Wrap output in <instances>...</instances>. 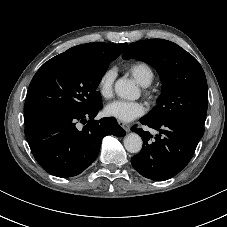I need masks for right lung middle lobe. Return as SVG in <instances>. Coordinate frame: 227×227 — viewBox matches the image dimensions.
Wrapping results in <instances>:
<instances>
[{
	"instance_id": "dd1d6c3e",
	"label": "right lung middle lobe",
	"mask_w": 227,
	"mask_h": 227,
	"mask_svg": "<svg viewBox=\"0 0 227 227\" xmlns=\"http://www.w3.org/2000/svg\"><path fill=\"white\" fill-rule=\"evenodd\" d=\"M116 51L100 60L59 54L44 63L33 77L24 106V119L51 112L88 110L102 102L96 91Z\"/></svg>"
}]
</instances>
